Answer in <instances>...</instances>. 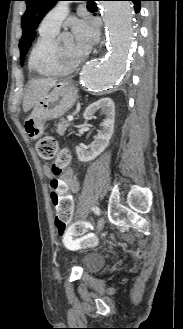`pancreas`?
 Returning a JSON list of instances; mask_svg holds the SVG:
<instances>
[{
    "instance_id": "pancreas-1",
    "label": "pancreas",
    "mask_w": 183,
    "mask_h": 329,
    "mask_svg": "<svg viewBox=\"0 0 183 329\" xmlns=\"http://www.w3.org/2000/svg\"><path fill=\"white\" fill-rule=\"evenodd\" d=\"M69 126V123L67 120L65 119H62L58 125H57V129H56V132L59 134V135H63L67 129V127Z\"/></svg>"
}]
</instances>
